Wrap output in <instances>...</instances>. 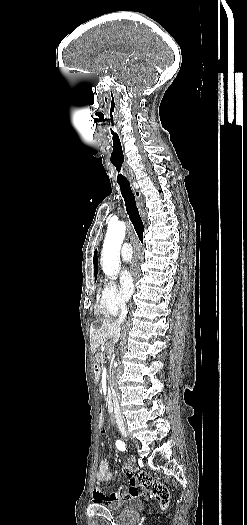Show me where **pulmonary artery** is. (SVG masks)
<instances>
[{
    "mask_svg": "<svg viewBox=\"0 0 247 525\" xmlns=\"http://www.w3.org/2000/svg\"><path fill=\"white\" fill-rule=\"evenodd\" d=\"M121 254H122L121 257H120L121 262L124 263V264L129 263L130 260H131L130 256H132V254H133V251L131 249L130 243H124L123 244Z\"/></svg>",
    "mask_w": 247,
    "mask_h": 525,
    "instance_id": "1",
    "label": "pulmonary artery"
}]
</instances>
